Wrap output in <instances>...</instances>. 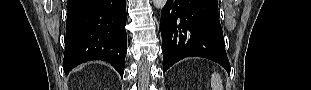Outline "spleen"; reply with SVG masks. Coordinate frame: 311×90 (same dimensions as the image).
Wrapping results in <instances>:
<instances>
[{
    "label": "spleen",
    "instance_id": "obj_1",
    "mask_svg": "<svg viewBox=\"0 0 311 90\" xmlns=\"http://www.w3.org/2000/svg\"><path fill=\"white\" fill-rule=\"evenodd\" d=\"M211 87L212 90H223L222 80L219 74L214 73L211 76Z\"/></svg>",
    "mask_w": 311,
    "mask_h": 90
}]
</instances>
